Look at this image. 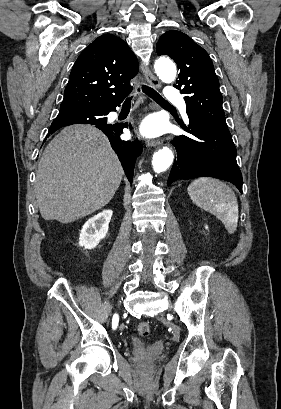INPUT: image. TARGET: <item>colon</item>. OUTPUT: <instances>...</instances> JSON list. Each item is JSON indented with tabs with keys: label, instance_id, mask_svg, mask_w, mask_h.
Segmentation results:
<instances>
[{
	"label": "colon",
	"instance_id": "obj_1",
	"mask_svg": "<svg viewBox=\"0 0 281 409\" xmlns=\"http://www.w3.org/2000/svg\"><path fill=\"white\" fill-rule=\"evenodd\" d=\"M150 329H151V325L147 322H142L138 324L137 326V332L142 336L149 335Z\"/></svg>",
	"mask_w": 281,
	"mask_h": 409
}]
</instances>
